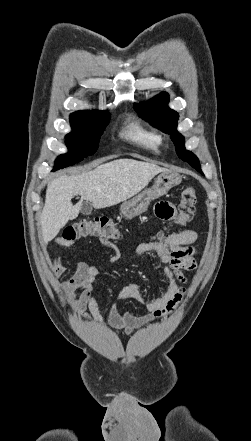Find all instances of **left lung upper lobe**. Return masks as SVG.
<instances>
[{
    "mask_svg": "<svg viewBox=\"0 0 251 441\" xmlns=\"http://www.w3.org/2000/svg\"><path fill=\"white\" fill-rule=\"evenodd\" d=\"M169 97L167 93L162 92L149 102L134 104L135 111L149 123L171 135V139L176 146V153L183 161L188 162L193 168L201 174L198 158L190 151L185 149L184 137L176 130L179 115L176 111L167 106Z\"/></svg>",
    "mask_w": 251,
    "mask_h": 441,
    "instance_id": "5c2ea615",
    "label": "left lung upper lobe"
}]
</instances>
